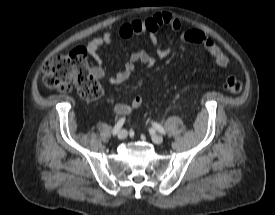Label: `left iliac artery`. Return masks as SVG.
Returning <instances> with one entry per match:
<instances>
[{
  "label": "left iliac artery",
  "mask_w": 275,
  "mask_h": 215,
  "mask_svg": "<svg viewBox=\"0 0 275 215\" xmlns=\"http://www.w3.org/2000/svg\"><path fill=\"white\" fill-rule=\"evenodd\" d=\"M153 127L159 132V133H161V134H166V132H165V130H164V128L161 126V125H159V124H157V123H153Z\"/></svg>",
  "instance_id": "obj_1"
}]
</instances>
